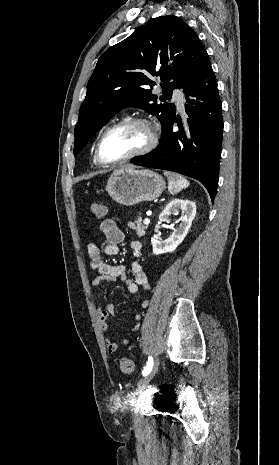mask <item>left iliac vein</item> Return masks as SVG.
<instances>
[{
    "instance_id": "left-iliac-vein-1",
    "label": "left iliac vein",
    "mask_w": 279,
    "mask_h": 465,
    "mask_svg": "<svg viewBox=\"0 0 279 465\" xmlns=\"http://www.w3.org/2000/svg\"><path fill=\"white\" fill-rule=\"evenodd\" d=\"M158 368H159V360L157 359L154 365L152 366L151 371L139 381L136 394H140L145 390L146 386L149 384V382L152 380V378L157 373Z\"/></svg>"
}]
</instances>
